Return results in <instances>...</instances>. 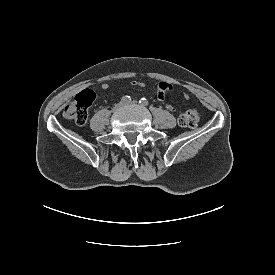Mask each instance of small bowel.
<instances>
[{"mask_svg": "<svg viewBox=\"0 0 275 275\" xmlns=\"http://www.w3.org/2000/svg\"><path fill=\"white\" fill-rule=\"evenodd\" d=\"M133 85L137 86V87H140V88H143L145 86V83L144 82H141V81H134L132 83ZM108 88V85L107 84H102L101 85V89L102 90H106ZM172 90V86L168 83H165V82H162L158 85L157 87V90H156V95H157V99L166 107L168 108L169 110L171 111H175V108L172 107L171 105H169L167 102H166V94L168 92H170ZM183 99L184 100H188L189 99V95L187 93H184L183 94Z\"/></svg>", "mask_w": 275, "mask_h": 275, "instance_id": "obj_1", "label": "small bowel"}]
</instances>
